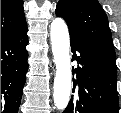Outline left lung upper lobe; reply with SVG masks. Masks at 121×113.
I'll list each match as a JSON object with an SVG mask.
<instances>
[{
  "mask_svg": "<svg viewBox=\"0 0 121 113\" xmlns=\"http://www.w3.org/2000/svg\"><path fill=\"white\" fill-rule=\"evenodd\" d=\"M56 15L65 19L70 37L117 69L108 19L97 0H60Z\"/></svg>",
  "mask_w": 121,
  "mask_h": 113,
  "instance_id": "1",
  "label": "left lung upper lobe"
}]
</instances>
